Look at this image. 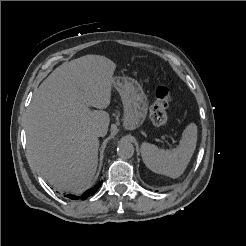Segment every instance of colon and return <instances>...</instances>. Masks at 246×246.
I'll return each instance as SVG.
<instances>
[{
	"label": "colon",
	"instance_id": "5ec220e1",
	"mask_svg": "<svg viewBox=\"0 0 246 246\" xmlns=\"http://www.w3.org/2000/svg\"><path fill=\"white\" fill-rule=\"evenodd\" d=\"M171 91L166 86H159L155 92V102L150 109V118L156 126H164L168 122L167 109L171 105Z\"/></svg>",
	"mask_w": 246,
	"mask_h": 246
}]
</instances>
